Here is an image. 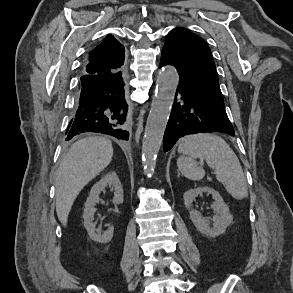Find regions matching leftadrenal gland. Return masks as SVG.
Returning <instances> with one entry per match:
<instances>
[{
    "instance_id": "obj_1",
    "label": "left adrenal gland",
    "mask_w": 293,
    "mask_h": 293,
    "mask_svg": "<svg viewBox=\"0 0 293 293\" xmlns=\"http://www.w3.org/2000/svg\"><path fill=\"white\" fill-rule=\"evenodd\" d=\"M177 177H178V178L180 177V172H179V170L177 171Z\"/></svg>"
}]
</instances>
